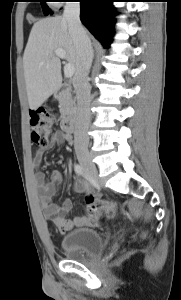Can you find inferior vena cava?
I'll return each mask as SVG.
<instances>
[{"label": "inferior vena cava", "instance_id": "inferior-vena-cava-1", "mask_svg": "<svg viewBox=\"0 0 181 300\" xmlns=\"http://www.w3.org/2000/svg\"><path fill=\"white\" fill-rule=\"evenodd\" d=\"M63 19L68 24V30L76 49V72L73 78L77 97L74 148L76 153H79L87 151L89 143L91 87L88 82V74L93 61V48L80 21L79 2H68L65 5Z\"/></svg>", "mask_w": 181, "mask_h": 300}]
</instances>
